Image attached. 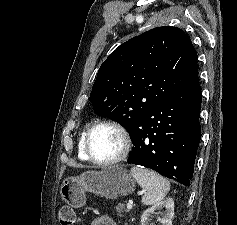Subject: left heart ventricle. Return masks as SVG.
Masks as SVG:
<instances>
[{
    "label": "left heart ventricle",
    "instance_id": "1",
    "mask_svg": "<svg viewBox=\"0 0 237 225\" xmlns=\"http://www.w3.org/2000/svg\"><path fill=\"white\" fill-rule=\"evenodd\" d=\"M119 134L108 127L97 128L90 138V151L100 160H107L116 156L121 149Z\"/></svg>",
    "mask_w": 237,
    "mask_h": 225
}]
</instances>
